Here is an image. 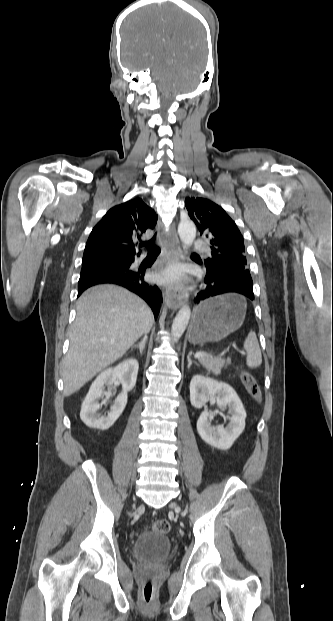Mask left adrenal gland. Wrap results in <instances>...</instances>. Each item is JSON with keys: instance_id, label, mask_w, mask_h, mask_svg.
Segmentation results:
<instances>
[{"instance_id": "a2214340", "label": "left adrenal gland", "mask_w": 333, "mask_h": 621, "mask_svg": "<svg viewBox=\"0 0 333 621\" xmlns=\"http://www.w3.org/2000/svg\"><path fill=\"white\" fill-rule=\"evenodd\" d=\"M187 360H188V366L187 368L190 369L191 365L194 363L196 366H199V364L196 361H192L191 360V352H189V354L187 355Z\"/></svg>"}]
</instances>
